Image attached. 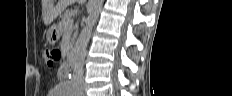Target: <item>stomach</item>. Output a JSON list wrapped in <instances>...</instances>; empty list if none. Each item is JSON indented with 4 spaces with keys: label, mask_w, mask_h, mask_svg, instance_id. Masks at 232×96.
<instances>
[{
    "label": "stomach",
    "mask_w": 232,
    "mask_h": 96,
    "mask_svg": "<svg viewBox=\"0 0 232 96\" xmlns=\"http://www.w3.org/2000/svg\"><path fill=\"white\" fill-rule=\"evenodd\" d=\"M60 38V29L59 26L53 25L47 34L48 43L54 45Z\"/></svg>",
    "instance_id": "stomach-1"
}]
</instances>
